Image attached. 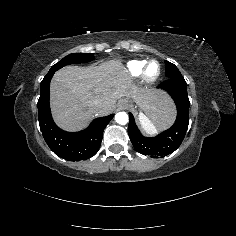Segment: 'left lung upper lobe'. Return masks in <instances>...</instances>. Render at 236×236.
Returning a JSON list of instances; mask_svg holds the SVG:
<instances>
[{"mask_svg": "<svg viewBox=\"0 0 236 236\" xmlns=\"http://www.w3.org/2000/svg\"><path fill=\"white\" fill-rule=\"evenodd\" d=\"M165 64H166L165 74L167 78L183 77L180 71L177 69V67L173 63L165 61Z\"/></svg>", "mask_w": 236, "mask_h": 236, "instance_id": "left-lung-upper-lobe-1", "label": "left lung upper lobe"}]
</instances>
